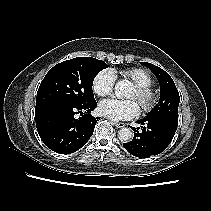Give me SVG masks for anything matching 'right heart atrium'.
Masks as SVG:
<instances>
[{"label": "right heart atrium", "mask_w": 211, "mask_h": 211, "mask_svg": "<svg viewBox=\"0 0 211 211\" xmlns=\"http://www.w3.org/2000/svg\"><path fill=\"white\" fill-rule=\"evenodd\" d=\"M115 76L111 70L100 71L92 81L93 92L99 97L109 96L114 88Z\"/></svg>", "instance_id": "1"}]
</instances>
